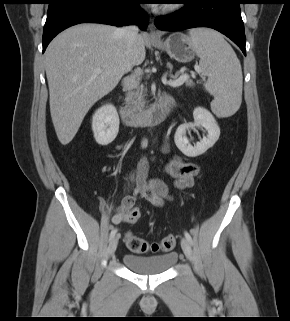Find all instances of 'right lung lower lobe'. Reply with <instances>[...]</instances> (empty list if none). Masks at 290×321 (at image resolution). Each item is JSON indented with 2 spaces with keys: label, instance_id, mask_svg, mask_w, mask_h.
Here are the masks:
<instances>
[{
  "label": "right lung lower lobe",
  "instance_id": "obj_1",
  "mask_svg": "<svg viewBox=\"0 0 290 321\" xmlns=\"http://www.w3.org/2000/svg\"><path fill=\"white\" fill-rule=\"evenodd\" d=\"M142 0H50L43 30V52L50 41L64 29L79 23H103L117 27L148 25V17L138 4Z\"/></svg>",
  "mask_w": 290,
  "mask_h": 321
}]
</instances>
